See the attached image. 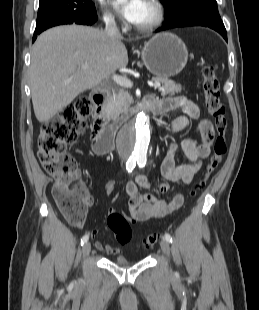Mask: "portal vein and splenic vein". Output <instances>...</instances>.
<instances>
[{
    "instance_id": "obj_1",
    "label": "portal vein and splenic vein",
    "mask_w": 259,
    "mask_h": 310,
    "mask_svg": "<svg viewBox=\"0 0 259 310\" xmlns=\"http://www.w3.org/2000/svg\"><path fill=\"white\" fill-rule=\"evenodd\" d=\"M82 69H88L89 65L88 63H84L82 66ZM113 81L125 88H131L133 86V83L130 79L127 77L121 76V75H113L112 76ZM150 86L154 87L155 89L160 88L161 84L160 82H154V83H149Z\"/></svg>"
}]
</instances>
